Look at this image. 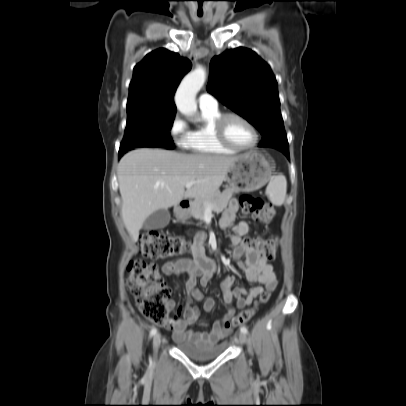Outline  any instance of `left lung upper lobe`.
Returning a JSON list of instances; mask_svg holds the SVG:
<instances>
[{
  "label": "left lung upper lobe",
  "mask_w": 406,
  "mask_h": 406,
  "mask_svg": "<svg viewBox=\"0 0 406 406\" xmlns=\"http://www.w3.org/2000/svg\"><path fill=\"white\" fill-rule=\"evenodd\" d=\"M207 91L259 130L260 147L289 149L277 81L255 52L238 47L213 57Z\"/></svg>",
  "instance_id": "left-lung-upper-lobe-1"
}]
</instances>
